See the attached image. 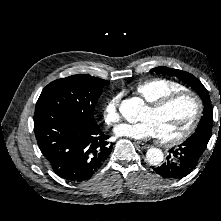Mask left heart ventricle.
Wrapping results in <instances>:
<instances>
[{"label":"left heart ventricle","instance_id":"1","mask_svg":"<svg viewBox=\"0 0 221 221\" xmlns=\"http://www.w3.org/2000/svg\"><path fill=\"white\" fill-rule=\"evenodd\" d=\"M194 112V102L184 97L157 112L146 108L141 120H150L157 129L158 137L167 139L182 133L191 122Z\"/></svg>","mask_w":221,"mask_h":221}]
</instances>
